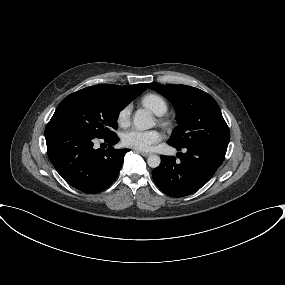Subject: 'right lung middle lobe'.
<instances>
[{
    "instance_id": "right-lung-middle-lobe-1",
    "label": "right lung middle lobe",
    "mask_w": 285,
    "mask_h": 285,
    "mask_svg": "<svg viewBox=\"0 0 285 285\" xmlns=\"http://www.w3.org/2000/svg\"><path fill=\"white\" fill-rule=\"evenodd\" d=\"M127 105L109 95L79 90L58 105L52 119L64 120L95 138L115 136L119 112Z\"/></svg>"
}]
</instances>
